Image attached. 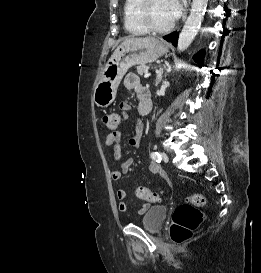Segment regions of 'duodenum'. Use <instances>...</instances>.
<instances>
[{"instance_id": "duodenum-1", "label": "duodenum", "mask_w": 261, "mask_h": 273, "mask_svg": "<svg viewBox=\"0 0 261 273\" xmlns=\"http://www.w3.org/2000/svg\"><path fill=\"white\" fill-rule=\"evenodd\" d=\"M151 110V97L150 94L146 91L142 97V102L140 105V113L146 115Z\"/></svg>"}]
</instances>
